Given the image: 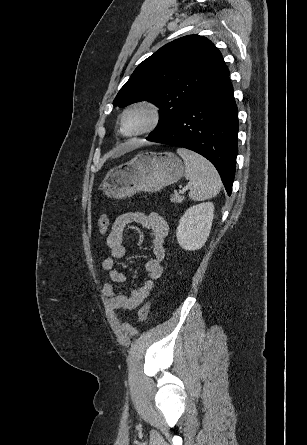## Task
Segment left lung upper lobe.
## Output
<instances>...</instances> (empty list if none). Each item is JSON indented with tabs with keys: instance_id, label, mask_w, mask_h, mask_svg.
<instances>
[{
	"instance_id": "left-lung-upper-lobe-1",
	"label": "left lung upper lobe",
	"mask_w": 307,
	"mask_h": 445,
	"mask_svg": "<svg viewBox=\"0 0 307 445\" xmlns=\"http://www.w3.org/2000/svg\"><path fill=\"white\" fill-rule=\"evenodd\" d=\"M229 75L222 55L203 36L174 40L145 59L121 88L113 105L149 101L160 108L157 127L165 130L183 111Z\"/></svg>"
}]
</instances>
